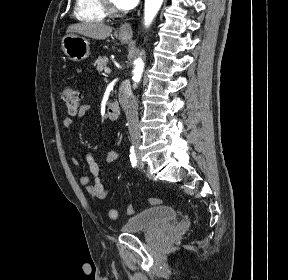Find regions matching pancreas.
<instances>
[{
	"label": "pancreas",
	"mask_w": 288,
	"mask_h": 280,
	"mask_svg": "<svg viewBox=\"0 0 288 280\" xmlns=\"http://www.w3.org/2000/svg\"><path fill=\"white\" fill-rule=\"evenodd\" d=\"M107 63L108 58L106 56H101L94 62V66L98 72H102L107 67Z\"/></svg>",
	"instance_id": "cf45deb5"
}]
</instances>
